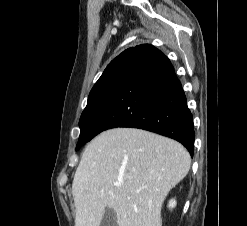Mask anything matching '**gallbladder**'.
<instances>
[{
  "label": "gallbladder",
  "instance_id": "obj_1",
  "mask_svg": "<svg viewBox=\"0 0 247 226\" xmlns=\"http://www.w3.org/2000/svg\"><path fill=\"white\" fill-rule=\"evenodd\" d=\"M100 226H118L117 216L113 209L107 208L105 210Z\"/></svg>",
  "mask_w": 247,
  "mask_h": 226
}]
</instances>
